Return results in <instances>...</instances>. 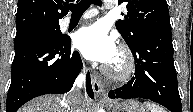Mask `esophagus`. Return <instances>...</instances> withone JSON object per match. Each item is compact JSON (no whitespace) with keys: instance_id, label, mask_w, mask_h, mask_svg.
Masks as SVG:
<instances>
[{"instance_id":"esophagus-1","label":"esophagus","mask_w":193,"mask_h":112,"mask_svg":"<svg viewBox=\"0 0 193 112\" xmlns=\"http://www.w3.org/2000/svg\"><path fill=\"white\" fill-rule=\"evenodd\" d=\"M91 83L95 94V98H100L101 95L104 93V89L101 81L96 76L93 75L91 78Z\"/></svg>"}]
</instances>
